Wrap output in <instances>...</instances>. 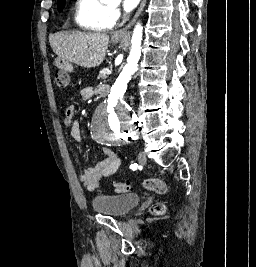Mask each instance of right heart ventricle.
Segmentation results:
<instances>
[{
  "label": "right heart ventricle",
  "mask_w": 256,
  "mask_h": 267,
  "mask_svg": "<svg viewBox=\"0 0 256 267\" xmlns=\"http://www.w3.org/2000/svg\"><path fill=\"white\" fill-rule=\"evenodd\" d=\"M112 6L111 0H80L78 8H84L87 11L85 21L80 22L81 28L87 29V36H106L100 32L99 25L102 21L107 19L110 15V8ZM69 28V27H65Z\"/></svg>",
  "instance_id": "right-heart-ventricle-1"
}]
</instances>
